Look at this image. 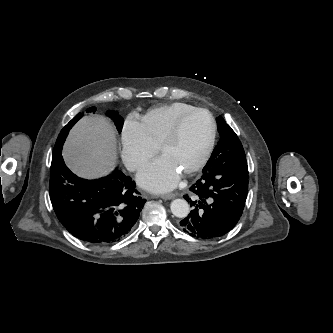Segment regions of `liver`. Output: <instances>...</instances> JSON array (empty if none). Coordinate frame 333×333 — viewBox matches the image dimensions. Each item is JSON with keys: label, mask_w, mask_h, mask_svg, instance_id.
I'll list each match as a JSON object with an SVG mask.
<instances>
[{"label": "liver", "mask_w": 333, "mask_h": 333, "mask_svg": "<svg viewBox=\"0 0 333 333\" xmlns=\"http://www.w3.org/2000/svg\"><path fill=\"white\" fill-rule=\"evenodd\" d=\"M63 157L68 167L80 177L106 175L117 159L112 125L99 115L82 118L70 131Z\"/></svg>", "instance_id": "6515ba94"}]
</instances>
